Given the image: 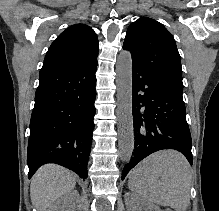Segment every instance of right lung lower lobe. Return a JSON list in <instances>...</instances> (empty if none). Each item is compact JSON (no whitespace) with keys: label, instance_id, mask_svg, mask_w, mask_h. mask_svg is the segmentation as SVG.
Returning <instances> with one entry per match:
<instances>
[{"label":"right lung lower lobe","instance_id":"98d812e1","mask_svg":"<svg viewBox=\"0 0 219 211\" xmlns=\"http://www.w3.org/2000/svg\"><path fill=\"white\" fill-rule=\"evenodd\" d=\"M97 62L91 66L42 68L30 122L29 178L45 163L88 176Z\"/></svg>","mask_w":219,"mask_h":211}]
</instances>
